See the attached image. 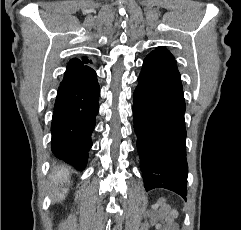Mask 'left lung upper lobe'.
<instances>
[{
    "label": "left lung upper lobe",
    "mask_w": 241,
    "mask_h": 230,
    "mask_svg": "<svg viewBox=\"0 0 241 230\" xmlns=\"http://www.w3.org/2000/svg\"><path fill=\"white\" fill-rule=\"evenodd\" d=\"M151 53H158V54H162L170 59H173V60L175 59L173 57V55L164 47H158L157 50L152 51Z\"/></svg>",
    "instance_id": "5c2ea615"
}]
</instances>
